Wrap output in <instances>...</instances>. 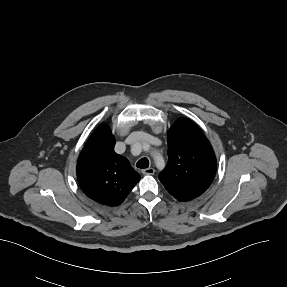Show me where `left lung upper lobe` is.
I'll return each mask as SVG.
<instances>
[{"instance_id":"5c2ea615","label":"left lung upper lobe","mask_w":287,"mask_h":287,"mask_svg":"<svg viewBox=\"0 0 287 287\" xmlns=\"http://www.w3.org/2000/svg\"><path fill=\"white\" fill-rule=\"evenodd\" d=\"M168 164L159 174L167 191L179 201L204 193L216 172L213 149L189 119H179L168 131Z\"/></svg>"}]
</instances>
